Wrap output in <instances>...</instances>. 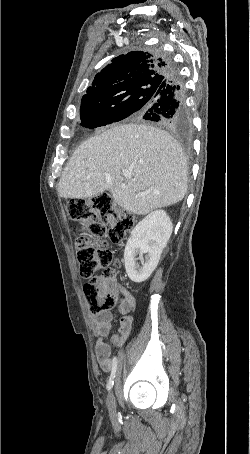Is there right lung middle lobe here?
Segmentation results:
<instances>
[{
  "mask_svg": "<svg viewBox=\"0 0 250 454\" xmlns=\"http://www.w3.org/2000/svg\"><path fill=\"white\" fill-rule=\"evenodd\" d=\"M160 84H145L129 96L81 105V125L86 128L106 126L129 116H139L155 101Z\"/></svg>",
  "mask_w": 250,
  "mask_h": 454,
  "instance_id": "right-lung-middle-lobe-1",
  "label": "right lung middle lobe"
}]
</instances>
